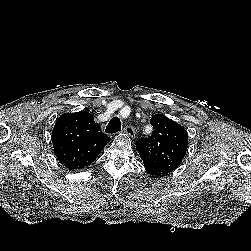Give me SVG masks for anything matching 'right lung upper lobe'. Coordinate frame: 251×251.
<instances>
[{
  "label": "right lung upper lobe",
  "instance_id": "1",
  "mask_svg": "<svg viewBox=\"0 0 251 251\" xmlns=\"http://www.w3.org/2000/svg\"><path fill=\"white\" fill-rule=\"evenodd\" d=\"M109 141L87 111L61 115L52 132L57 160L69 170L90 165Z\"/></svg>",
  "mask_w": 251,
  "mask_h": 251
}]
</instances>
